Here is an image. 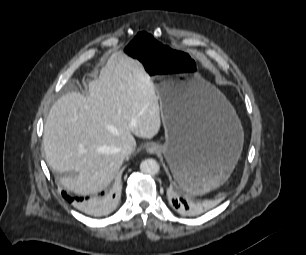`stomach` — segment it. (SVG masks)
Segmentation results:
<instances>
[{
	"instance_id": "1",
	"label": "stomach",
	"mask_w": 306,
	"mask_h": 255,
	"mask_svg": "<svg viewBox=\"0 0 306 255\" xmlns=\"http://www.w3.org/2000/svg\"><path fill=\"white\" fill-rule=\"evenodd\" d=\"M123 53L138 60L154 83L165 129L160 150L176 181L193 193L226 182L244 132L224 95L200 76L194 57L152 32L139 33ZM186 172L191 181L182 184Z\"/></svg>"
}]
</instances>
